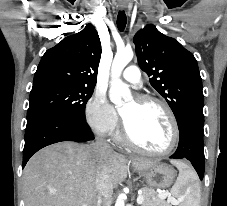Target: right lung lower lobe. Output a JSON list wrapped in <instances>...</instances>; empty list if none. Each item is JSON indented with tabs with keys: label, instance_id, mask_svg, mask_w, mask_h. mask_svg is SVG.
I'll return each instance as SVG.
<instances>
[{
	"label": "right lung lower lobe",
	"instance_id": "98d812e1",
	"mask_svg": "<svg viewBox=\"0 0 227 206\" xmlns=\"http://www.w3.org/2000/svg\"><path fill=\"white\" fill-rule=\"evenodd\" d=\"M93 139L84 120L48 113L35 115L27 119L22 168L34 153L45 146L61 141L85 142Z\"/></svg>",
	"mask_w": 227,
	"mask_h": 206
}]
</instances>
